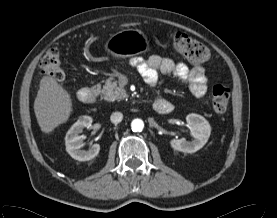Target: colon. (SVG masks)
<instances>
[{
  "label": "colon",
  "mask_w": 277,
  "mask_h": 218,
  "mask_svg": "<svg viewBox=\"0 0 277 218\" xmlns=\"http://www.w3.org/2000/svg\"><path fill=\"white\" fill-rule=\"evenodd\" d=\"M173 48L191 63H203L208 60V48L201 42L184 33H173L170 37ZM40 67L42 73L55 81L61 82L65 73L61 65V54L57 47L49 49L43 56ZM231 91L223 85H216L212 90L211 104L217 113H223L229 106Z\"/></svg>",
  "instance_id": "obj_1"
}]
</instances>
